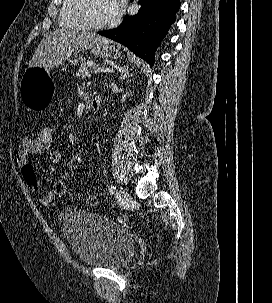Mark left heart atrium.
<instances>
[{"label":"left heart atrium","mask_w":272,"mask_h":303,"mask_svg":"<svg viewBox=\"0 0 272 303\" xmlns=\"http://www.w3.org/2000/svg\"><path fill=\"white\" fill-rule=\"evenodd\" d=\"M110 11L113 18H117L123 11V0H109Z\"/></svg>","instance_id":"left-heart-atrium-1"}]
</instances>
